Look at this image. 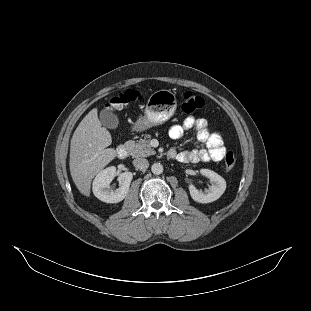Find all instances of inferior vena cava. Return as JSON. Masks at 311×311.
<instances>
[{"instance_id": "inferior-vena-cava-1", "label": "inferior vena cava", "mask_w": 311, "mask_h": 311, "mask_svg": "<svg viewBox=\"0 0 311 311\" xmlns=\"http://www.w3.org/2000/svg\"><path fill=\"white\" fill-rule=\"evenodd\" d=\"M133 165L141 171H146L149 167V162L145 158H137L133 161Z\"/></svg>"}]
</instances>
